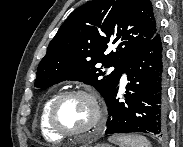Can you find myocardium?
I'll return each mask as SVG.
<instances>
[{
  "label": "myocardium",
  "mask_w": 183,
  "mask_h": 147,
  "mask_svg": "<svg viewBox=\"0 0 183 147\" xmlns=\"http://www.w3.org/2000/svg\"><path fill=\"white\" fill-rule=\"evenodd\" d=\"M72 96H83L89 100L92 105L94 117L92 122L81 130H67L63 128L57 121V110L60 104L67 98ZM104 119V110L98 97L92 91L86 89H72L59 94L52 102L48 112V124L50 128L58 135L64 137H76L91 132L96 129Z\"/></svg>",
  "instance_id": "obj_1"
}]
</instances>
